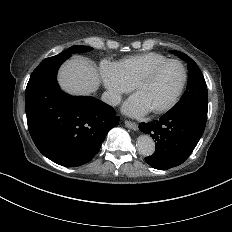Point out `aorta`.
<instances>
[{
	"label": "aorta",
	"mask_w": 232,
	"mask_h": 232,
	"mask_svg": "<svg viewBox=\"0 0 232 232\" xmlns=\"http://www.w3.org/2000/svg\"><path fill=\"white\" fill-rule=\"evenodd\" d=\"M136 146L138 152L143 156H151L155 151V142L149 135H141L138 137Z\"/></svg>",
	"instance_id": "762f6f07"
}]
</instances>
